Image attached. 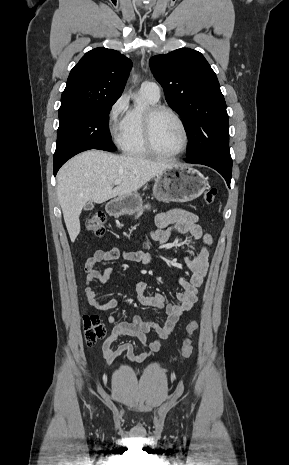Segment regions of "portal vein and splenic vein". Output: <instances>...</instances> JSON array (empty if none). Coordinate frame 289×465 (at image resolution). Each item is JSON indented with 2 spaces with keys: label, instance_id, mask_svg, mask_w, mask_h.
<instances>
[{
  "label": "portal vein and splenic vein",
  "instance_id": "18ae733b",
  "mask_svg": "<svg viewBox=\"0 0 289 465\" xmlns=\"http://www.w3.org/2000/svg\"><path fill=\"white\" fill-rule=\"evenodd\" d=\"M122 182V180H115L114 185H119Z\"/></svg>",
  "mask_w": 289,
  "mask_h": 465
}]
</instances>
